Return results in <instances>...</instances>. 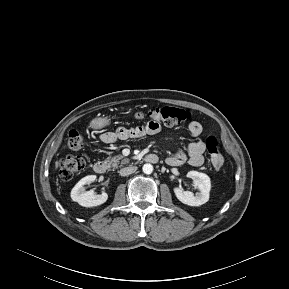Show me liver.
Here are the masks:
<instances>
[{"label":"liver","instance_id":"1","mask_svg":"<svg viewBox=\"0 0 289 289\" xmlns=\"http://www.w3.org/2000/svg\"><path fill=\"white\" fill-rule=\"evenodd\" d=\"M58 166H59V161H57V162L55 163V168L57 169Z\"/></svg>","mask_w":289,"mask_h":289}]
</instances>
